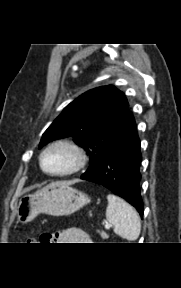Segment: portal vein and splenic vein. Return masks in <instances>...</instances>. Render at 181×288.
Masks as SVG:
<instances>
[{
    "mask_svg": "<svg viewBox=\"0 0 181 288\" xmlns=\"http://www.w3.org/2000/svg\"><path fill=\"white\" fill-rule=\"evenodd\" d=\"M111 225L109 223L105 224V229H110Z\"/></svg>",
    "mask_w": 181,
    "mask_h": 288,
    "instance_id": "obj_1",
    "label": "portal vein and splenic vein"
}]
</instances>
